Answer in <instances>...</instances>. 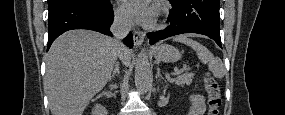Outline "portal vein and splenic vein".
<instances>
[{
  "label": "portal vein and splenic vein",
  "mask_w": 285,
  "mask_h": 115,
  "mask_svg": "<svg viewBox=\"0 0 285 115\" xmlns=\"http://www.w3.org/2000/svg\"><path fill=\"white\" fill-rule=\"evenodd\" d=\"M184 70H185V68H182L180 70H175L174 72L171 73V75H177V74L183 72Z\"/></svg>",
  "instance_id": "1"
}]
</instances>
